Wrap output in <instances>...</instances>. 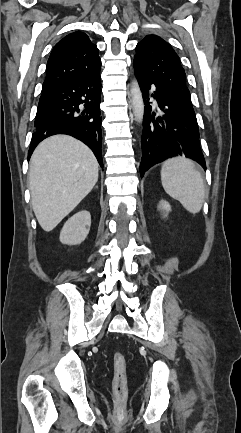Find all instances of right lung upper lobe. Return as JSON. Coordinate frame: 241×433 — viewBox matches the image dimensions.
I'll return each mask as SVG.
<instances>
[{
	"instance_id": "right-lung-upper-lobe-1",
	"label": "right lung upper lobe",
	"mask_w": 241,
	"mask_h": 433,
	"mask_svg": "<svg viewBox=\"0 0 241 433\" xmlns=\"http://www.w3.org/2000/svg\"><path fill=\"white\" fill-rule=\"evenodd\" d=\"M100 67L96 45L83 32L71 33L52 50L42 91L77 77L94 74Z\"/></svg>"
}]
</instances>
